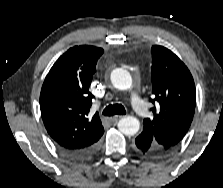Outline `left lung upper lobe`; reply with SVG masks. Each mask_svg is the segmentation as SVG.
Here are the masks:
<instances>
[{
    "instance_id": "obj_1",
    "label": "left lung upper lobe",
    "mask_w": 223,
    "mask_h": 188,
    "mask_svg": "<svg viewBox=\"0 0 223 188\" xmlns=\"http://www.w3.org/2000/svg\"><path fill=\"white\" fill-rule=\"evenodd\" d=\"M153 119L143 121L142 135L165 154L172 152L187 133L193 120L196 92L192 75L170 50L152 47Z\"/></svg>"
}]
</instances>
